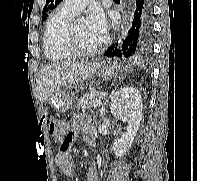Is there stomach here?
Wrapping results in <instances>:
<instances>
[{
  "label": "stomach",
  "instance_id": "obj_1",
  "mask_svg": "<svg viewBox=\"0 0 197 181\" xmlns=\"http://www.w3.org/2000/svg\"><path fill=\"white\" fill-rule=\"evenodd\" d=\"M96 76L102 80H109L118 76L120 65L111 60L97 63ZM73 95L64 87L57 89L48 99L49 105L58 112H66L72 106Z\"/></svg>",
  "mask_w": 197,
  "mask_h": 181
}]
</instances>
